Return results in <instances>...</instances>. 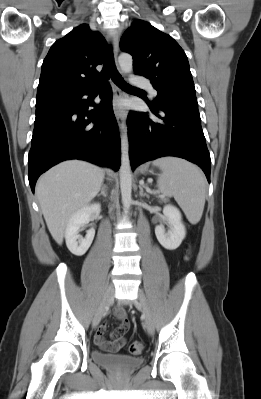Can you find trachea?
<instances>
[{
    "label": "trachea",
    "mask_w": 261,
    "mask_h": 399,
    "mask_svg": "<svg viewBox=\"0 0 261 399\" xmlns=\"http://www.w3.org/2000/svg\"><path fill=\"white\" fill-rule=\"evenodd\" d=\"M110 77L122 89H137L126 83L121 75L118 73L115 67L114 58L111 50L108 53L106 62L100 75L92 80L94 88H100Z\"/></svg>",
    "instance_id": "trachea-1"
}]
</instances>
